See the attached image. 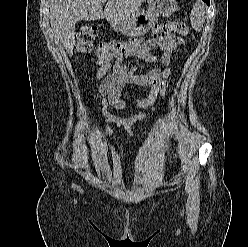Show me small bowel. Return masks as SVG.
I'll return each mask as SVG.
<instances>
[{"label":"small bowel","mask_w":248,"mask_h":247,"mask_svg":"<svg viewBox=\"0 0 248 247\" xmlns=\"http://www.w3.org/2000/svg\"><path fill=\"white\" fill-rule=\"evenodd\" d=\"M180 39L169 34L165 37L134 40L128 42V47L122 52H115L100 60L96 79L99 82V92L102 96L103 116L118 127H122L128 135H131V127L136 122L145 118L149 112L141 111L126 117H118L106 112L109 105L119 111L130 109L147 110L153 107L156 99L163 97L167 89V78L170 76V64L176 52ZM159 50L158 53L153 52ZM136 58L148 64L160 61L162 68L153 69L146 74H137L135 66H129L127 60ZM112 62V63H111ZM112 69V73H107ZM133 85L139 87H150L148 97L128 104L121 98L125 86ZM107 135L111 134L106 128Z\"/></svg>","instance_id":"small-bowel-1"}]
</instances>
